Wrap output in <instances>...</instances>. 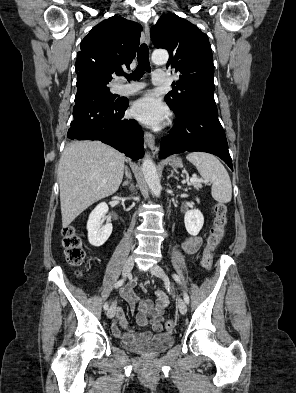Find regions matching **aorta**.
Instances as JSON below:
<instances>
[{
    "instance_id": "obj_1",
    "label": "aorta",
    "mask_w": 296,
    "mask_h": 393,
    "mask_svg": "<svg viewBox=\"0 0 296 393\" xmlns=\"http://www.w3.org/2000/svg\"><path fill=\"white\" fill-rule=\"evenodd\" d=\"M168 58L169 55L166 50L159 49L152 53V62L157 65L167 63ZM142 171L149 189L156 197H159L161 194L160 180L157 174L156 166L149 155H146L143 160Z\"/></svg>"
}]
</instances>
